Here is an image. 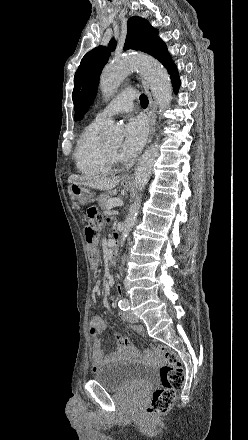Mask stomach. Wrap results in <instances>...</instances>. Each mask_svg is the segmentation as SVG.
Masks as SVG:
<instances>
[{
    "label": "stomach",
    "mask_w": 248,
    "mask_h": 440,
    "mask_svg": "<svg viewBox=\"0 0 248 440\" xmlns=\"http://www.w3.org/2000/svg\"><path fill=\"white\" fill-rule=\"evenodd\" d=\"M121 185L126 189L131 187L130 181L126 179L122 180ZM68 194L76 207L85 206L94 201V193L91 188L77 183L69 184Z\"/></svg>",
    "instance_id": "1"
}]
</instances>
